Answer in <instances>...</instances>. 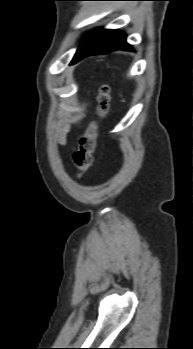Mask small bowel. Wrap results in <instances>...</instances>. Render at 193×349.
<instances>
[{
    "mask_svg": "<svg viewBox=\"0 0 193 349\" xmlns=\"http://www.w3.org/2000/svg\"><path fill=\"white\" fill-rule=\"evenodd\" d=\"M69 129H70L69 126H66V127L63 129V133H62V144H65V142H66L65 135H66V133L69 131Z\"/></svg>",
    "mask_w": 193,
    "mask_h": 349,
    "instance_id": "1",
    "label": "small bowel"
}]
</instances>
